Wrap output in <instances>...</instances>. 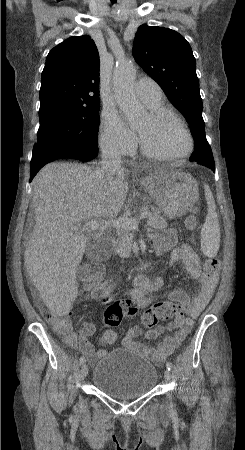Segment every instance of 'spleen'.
Wrapping results in <instances>:
<instances>
[{
	"label": "spleen",
	"instance_id": "obj_1",
	"mask_svg": "<svg viewBox=\"0 0 245 450\" xmlns=\"http://www.w3.org/2000/svg\"><path fill=\"white\" fill-rule=\"evenodd\" d=\"M204 190L208 213L201 229V250L207 257H215L220 247V227L215 201L207 184H204Z\"/></svg>",
	"mask_w": 245,
	"mask_h": 450
}]
</instances>
